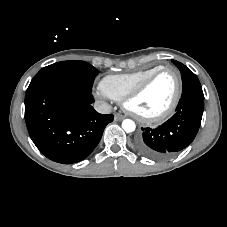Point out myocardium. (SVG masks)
<instances>
[{"instance_id":"myocardium-1","label":"myocardium","mask_w":227,"mask_h":227,"mask_svg":"<svg viewBox=\"0 0 227 227\" xmlns=\"http://www.w3.org/2000/svg\"><path fill=\"white\" fill-rule=\"evenodd\" d=\"M171 71L175 74L176 79H177V88L175 95L169 104V106L161 113L154 115V116H143L140 115L139 113L135 112L131 107H130V102L134 100L136 97H138L142 92L146 90V88L152 83V81L157 78L159 75H161L164 72ZM182 91H183V83H182V77L180 72L174 68V67H162L158 69L157 71L153 72L150 74L148 77H146L143 81H141L138 85H136L131 91H129L126 96L122 100V105L124 109L132 115L134 118L137 120L148 123V124H155V123H160L167 118H169L173 112L175 111L176 107L178 106V103L181 99L182 96Z\"/></svg>"}]
</instances>
